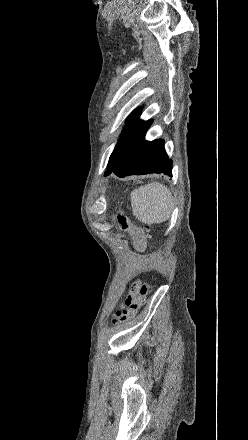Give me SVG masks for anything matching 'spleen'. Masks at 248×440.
Instances as JSON below:
<instances>
[{
  "label": "spleen",
  "instance_id": "obj_1",
  "mask_svg": "<svg viewBox=\"0 0 248 440\" xmlns=\"http://www.w3.org/2000/svg\"><path fill=\"white\" fill-rule=\"evenodd\" d=\"M133 215L142 223L153 225L167 221L173 210V197L168 188L152 182L131 193Z\"/></svg>",
  "mask_w": 248,
  "mask_h": 440
}]
</instances>
